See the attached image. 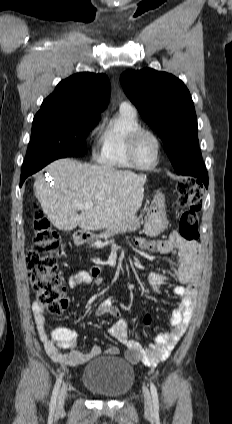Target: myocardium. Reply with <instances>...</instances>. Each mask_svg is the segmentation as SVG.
<instances>
[{"label":"myocardium","mask_w":232,"mask_h":424,"mask_svg":"<svg viewBox=\"0 0 232 424\" xmlns=\"http://www.w3.org/2000/svg\"><path fill=\"white\" fill-rule=\"evenodd\" d=\"M145 134H148L151 137H153V139L155 140L156 145H157L156 158H155V160H154V162L152 164L147 165V166H144V165L139 164L137 162V160H136V157H135V145H136L138 139L142 135H145ZM161 152H162L161 139L159 138V136L154 131H152V130H150L148 128L141 127L139 129L135 130L130 135L129 140H128V146H127V154H128V158H129L131 164L135 168L140 169V170H150V169L155 168L158 165L159 161H160Z\"/></svg>","instance_id":"1"}]
</instances>
